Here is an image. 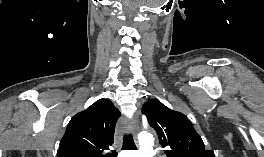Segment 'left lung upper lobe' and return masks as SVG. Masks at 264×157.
<instances>
[{
  "label": "left lung upper lobe",
  "mask_w": 264,
  "mask_h": 157,
  "mask_svg": "<svg viewBox=\"0 0 264 157\" xmlns=\"http://www.w3.org/2000/svg\"><path fill=\"white\" fill-rule=\"evenodd\" d=\"M143 114L158 134L159 143L167 157H215L213 150H206L191 121L182 113L173 111L160 101L150 99L143 105Z\"/></svg>",
  "instance_id": "obj_1"
}]
</instances>
